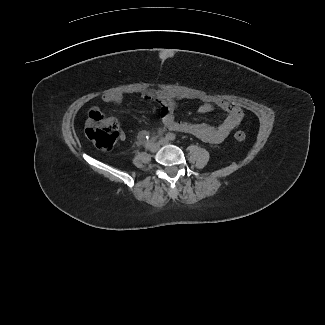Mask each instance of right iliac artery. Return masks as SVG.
I'll return each mask as SVG.
<instances>
[{
    "label": "right iliac artery",
    "mask_w": 325,
    "mask_h": 325,
    "mask_svg": "<svg viewBox=\"0 0 325 325\" xmlns=\"http://www.w3.org/2000/svg\"><path fill=\"white\" fill-rule=\"evenodd\" d=\"M155 141H156V137H152L148 139L147 142L145 143V147L149 148Z\"/></svg>",
    "instance_id": "1"
}]
</instances>
